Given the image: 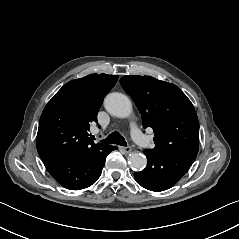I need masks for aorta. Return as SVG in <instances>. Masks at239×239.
Segmentation results:
<instances>
[{"label": "aorta", "mask_w": 239, "mask_h": 239, "mask_svg": "<svg viewBox=\"0 0 239 239\" xmlns=\"http://www.w3.org/2000/svg\"><path fill=\"white\" fill-rule=\"evenodd\" d=\"M104 105L110 114L120 119H128L133 112L131 100L122 93L109 94L105 98ZM129 161L131 167L135 170H139L147 164L146 157L137 151L129 155Z\"/></svg>", "instance_id": "aorta-1"}]
</instances>
